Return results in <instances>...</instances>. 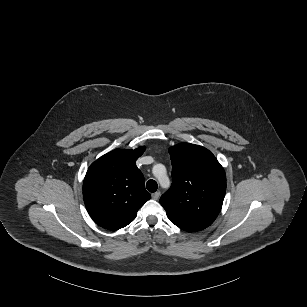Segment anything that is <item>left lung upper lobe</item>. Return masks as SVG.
<instances>
[{
    "label": "left lung upper lobe",
    "instance_id": "left-lung-upper-lobe-1",
    "mask_svg": "<svg viewBox=\"0 0 307 307\" xmlns=\"http://www.w3.org/2000/svg\"><path fill=\"white\" fill-rule=\"evenodd\" d=\"M172 185L160 198L169 220L179 228L199 231L218 216L226 191L225 171L206 148L180 143L169 150Z\"/></svg>",
    "mask_w": 307,
    "mask_h": 307
}]
</instances>
